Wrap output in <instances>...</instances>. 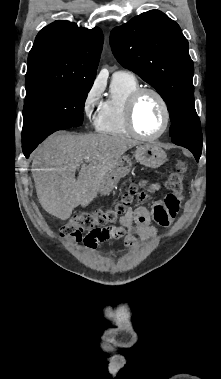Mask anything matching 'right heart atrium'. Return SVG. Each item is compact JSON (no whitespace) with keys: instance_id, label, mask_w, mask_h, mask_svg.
Returning <instances> with one entry per match:
<instances>
[{"instance_id":"1","label":"right heart atrium","mask_w":221,"mask_h":379,"mask_svg":"<svg viewBox=\"0 0 221 379\" xmlns=\"http://www.w3.org/2000/svg\"><path fill=\"white\" fill-rule=\"evenodd\" d=\"M104 86L101 81L95 80L85 93L82 102V109L88 118H92L97 114L103 104Z\"/></svg>"}]
</instances>
